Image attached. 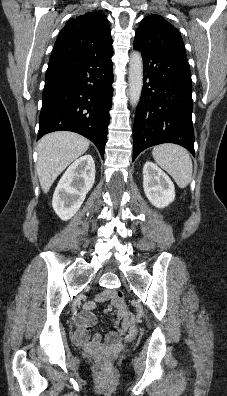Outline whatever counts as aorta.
<instances>
[{"mask_svg": "<svg viewBox=\"0 0 227 396\" xmlns=\"http://www.w3.org/2000/svg\"><path fill=\"white\" fill-rule=\"evenodd\" d=\"M129 97L132 106L140 101L143 88V60L139 51H133L129 62Z\"/></svg>", "mask_w": 227, "mask_h": 396, "instance_id": "aorta-1", "label": "aorta"}]
</instances>
